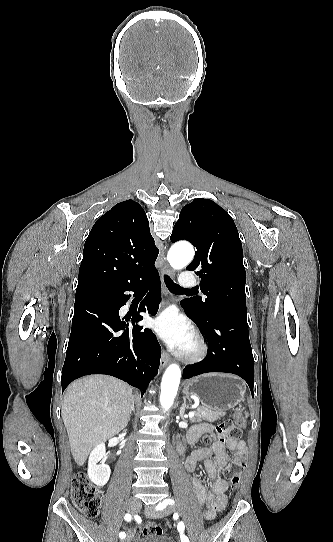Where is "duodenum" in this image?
I'll use <instances>...</instances> for the list:
<instances>
[{
  "label": "duodenum",
  "mask_w": 333,
  "mask_h": 542,
  "mask_svg": "<svg viewBox=\"0 0 333 542\" xmlns=\"http://www.w3.org/2000/svg\"><path fill=\"white\" fill-rule=\"evenodd\" d=\"M196 439H197V435L194 433H189L187 436V440L190 443L194 442Z\"/></svg>",
  "instance_id": "duodenum-1"
}]
</instances>
